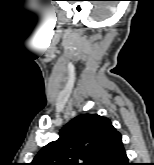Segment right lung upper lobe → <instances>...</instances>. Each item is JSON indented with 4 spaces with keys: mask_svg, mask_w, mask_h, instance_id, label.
I'll use <instances>...</instances> for the list:
<instances>
[{
    "mask_svg": "<svg viewBox=\"0 0 154 165\" xmlns=\"http://www.w3.org/2000/svg\"><path fill=\"white\" fill-rule=\"evenodd\" d=\"M117 135L108 118L79 115L60 130L56 141L40 150L31 165H97Z\"/></svg>",
    "mask_w": 154,
    "mask_h": 165,
    "instance_id": "cb5924a9",
    "label": "right lung upper lobe"
}]
</instances>
